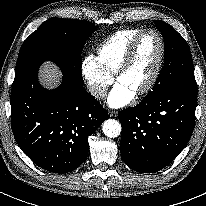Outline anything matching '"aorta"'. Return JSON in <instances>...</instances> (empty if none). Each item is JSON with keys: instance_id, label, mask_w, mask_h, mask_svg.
I'll return each mask as SVG.
<instances>
[{"instance_id": "aorta-1", "label": "aorta", "mask_w": 206, "mask_h": 206, "mask_svg": "<svg viewBox=\"0 0 206 206\" xmlns=\"http://www.w3.org/2000/svg\"><path fill=\"white\" fill-rule=\"evenodd\" d=\"M102 130L107 137L115 138L121 133V124L115 119H108L103 123Z\"/></svg>"}]
</instances>
